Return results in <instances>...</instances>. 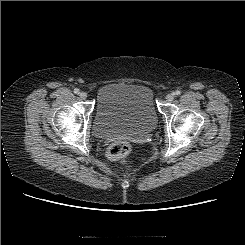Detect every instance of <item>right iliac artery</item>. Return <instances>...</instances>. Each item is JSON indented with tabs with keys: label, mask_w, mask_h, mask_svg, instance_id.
I'll return each instance as SVG.
<instances>
[{
	"label": "right iliac artery",
	"mask_w": 245,
	"mask_h": 245,
	"mask_svg": "<svg viewBox=\"0 0 245 245\" xmlns=\"http://www.w3.org/2000/svg\"><path fill=\"white\" fill-rule=\"evenodd\" d=\"M74 93H75V94H79V93H80L79 89H77V88L74 89Z\"/></svg>",
	"instance_id": "obj_1"
}]
</instances>
